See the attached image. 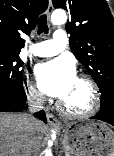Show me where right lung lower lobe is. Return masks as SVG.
Segmentation results:
<instances>
[{
    "label": "right lung lower lobe",
    "instance_id": "right-lung-lower-lobe-1",
    "mask_svg": "<svg viewBox=\"0 0 114 156\" xmlns=\"http://www.w3.org/2000/svg\"><path fill=\"white\" fill-rule=\"evenodd\" d=\"M26 99L25 91L18 94L0 93V112L21 111L25 107ZM35 116L45 123L47 122L46 115L43 110L35 113Z\"/></svg>",
    "mask_w": 114,
    "mask_h": 156
}]
</instances>
